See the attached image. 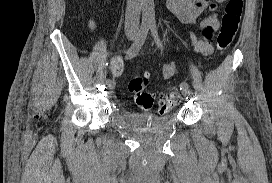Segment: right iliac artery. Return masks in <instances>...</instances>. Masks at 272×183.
<instances>
[{
	"instance_id": "obj_1",
	"label": "right iliac artery",
	"mask_w": 272,
	"mask_h": 183,
	"mask_svg": "<svg viewBox=\"0 0 272 183\" xmlns=\"http://www.w3.org/2000/svg\"><path fill=\"white\" fill-rule=\"evenodd\" d=\"M149 29H150L149 24H142L141 25L134 43L131 45V47L126 52L125 58L127 60L135 57L138 54L139 50L141 49L142 45L145 42V39L147 37ZM107 81L110 82L112 80L108 79Z\"/></svg>"
}]
</instances>
